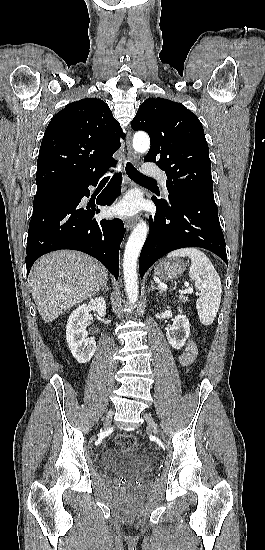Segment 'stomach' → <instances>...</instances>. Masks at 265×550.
<instances>
[{"label": "stomach", "instance_id": "1", "mask_svg": "<svg viewBox=\"0 0 265 550\" xmlns=\"http://www.w3.org/2000/svg\"><path fill=\"white\" fill-rule=\"evenodd\" d=\"M183 271L184 263L176 258L164 259L155 267V274L165 281L177 278Z\"/></svg>", "mask_w": 265, "mask_h": 550}]
</instances>
